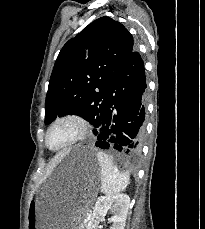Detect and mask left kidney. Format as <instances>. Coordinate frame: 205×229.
<instances>
[{
	"instance_id": "obj_1",
	"label": "left kidney",
	"mask_w": 205,
	"mask_h": 229,
	"mask_svg": "<svg viewBox=\"0 0 205 229\" xmlns=\"http://www.w3.org/2000/svg\"><path fill=\"white\" fill-rule=\"evenodd\" d=\"M130 197L126 194L101 196L97 199L92 214H89L87 229L100 228V222L109 210L113 216L109 218L112 223L110 229H124L129 210Z\"/></svg>"
}]
</instances>
